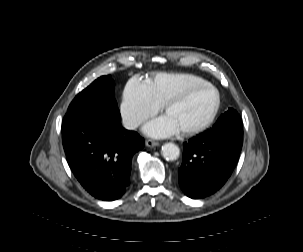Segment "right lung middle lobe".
<instances>
[{
  "mask_svg": "<svg viewBox=\"0 0 303 252\" xmlns=\"http://www.w3.org/2000/svg\"><path fill=\"white\" fill-rule=\"evenodd\" d=\"M101 104L117 106L114 98V82L110 75L98 78L90 86L81 91L71 102L67 114Z\"/></svg>",
  "mask_w": 303,
  "mask_h": 252,
  "instance_id": "1",
  "label": "right lung middle lobe"
}]
</instances>
